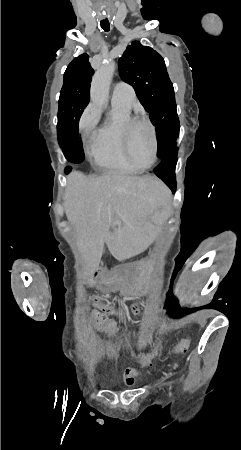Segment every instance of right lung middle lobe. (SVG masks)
<instances>
[{"label":"right lung middle lobe","mask_w":241,"mask_h":450,"mask_svg":"<svg viewBox=\"0 0 241 450\" xmlns=\"http://www.w3.org/2000/svg\"><path fill=\"white\" fill-rule=\"evenodd\" d=\"M90 82L91 76L75 78L64 82L60 92L57 135L64 155L71 164L81 163L84 159V154L67 156L66 135L73 119L80 116L89 103ZM70 171L71 167L65 169L66 173Z\"/></svg>","instance_id":"obj_1"}]
</instances>
